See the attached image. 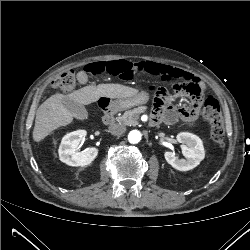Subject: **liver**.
<instances>
[{"instance_id":"1","label":"liver","mask_w":250,"mask_h":250,"mask_svg":"<svg viewBox=\"0 0 250 250\" xmlns=\"http://www.w3.org/2000/svg\"><path fill=\"white\" fill-rule=\"evenodd\" d=\"M138 89L121 84L88 85L68 95L55 94L44 101L36 111L33 140L39 142L46 138L52 131L66 126L73 121V115L63 106L62 100L66 97L89 105L99 100L100 97L110 99L134 96Z\"/></svg>"}]
</instances>
